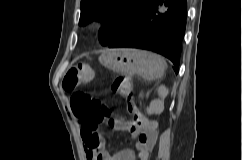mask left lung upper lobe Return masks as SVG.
Wrapping results in <instances>:
<instances>
[{
  "label": "left lung upper lobe",
  "mask_w": 242,
  "mask_h": 160,
  "mask_svg": "<svg viewBox=\"0 0 242 160\" xmlns=\"http://www.w3.org/2000/svg\"><path fill=\"white\" fill-rule=\"evenodd\" d=\"M149 0H81L79 25L102 21L99 40L109 45L134 24Z\"/></svg>",
  "instance_id": "obj_1"
}]
</instances>
